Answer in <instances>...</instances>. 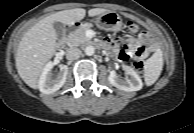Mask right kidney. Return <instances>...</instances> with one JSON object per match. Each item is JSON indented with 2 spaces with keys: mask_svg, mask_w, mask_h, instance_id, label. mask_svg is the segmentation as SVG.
<instances>
[{
  "mask_svg": "<svg viewBox=\"0 0 194 133\" xmlns=\"http://www.w3.org/2000/svg\"><path fill=\"white\" fill-rule=\"evenodd\" d=\"M52 68V63L46 64L39 79V90L44 94L56 92L66 81L68 74V67L66 65H60V71L57 74L53 73Z\"/></svg>",
  "mask_w": 194,
  "mask_h": 133,
  "instance_id": "1",
  "label": "right kidney"
}]
</instances>
